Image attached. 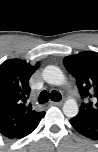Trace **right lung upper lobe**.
Masks as SVG:
<instances>
[{"label":"right lung upper lobe","mask_w":98,"mask_h":152,"mask_svg":"<svg viewBox=\"0 0 98 152\" xmlns=\"http://www.w3.org/2000/svg\"><path fill=\"white\" fill-rule=\"evenodd\" d=\"M20 59H10L0 65V133L10 138L18 134L45 112H36L28 102V81L38 69Z\"/></svg>","instance_id":"cb5924a9"}]
</instances>
